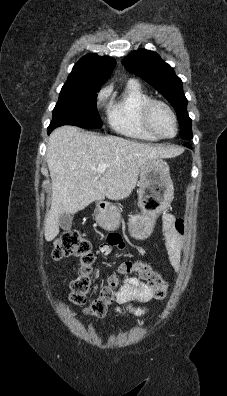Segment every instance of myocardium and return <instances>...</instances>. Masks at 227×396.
<instances>
[{
	"instance_id": "f54148a6",
	"label": "myocardium",
	"mask_w": 227,
	"mask_h": 396,
	"mask_svg": "<svg viewBox=\"0 0 227 396\" xmlns=\"http://www.w3.org/2000/svg\"><path fill=\"white\" fill-rule=\"evenodd\" d=\"M156 106L164 107L172 116L174 125H175V132L172 136H164V135L160 134L154 127V125L152 123V111H153L154 107H156ZM142 121H143L145 128L159 139L174 138L177 135L178 130H179L178 118H177L175 111L167 102L160 100V99H150L144 104V106L142 108Z\"/></svg>"
}]
</instances>
